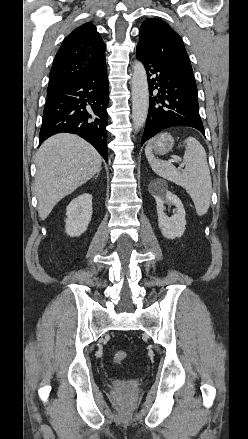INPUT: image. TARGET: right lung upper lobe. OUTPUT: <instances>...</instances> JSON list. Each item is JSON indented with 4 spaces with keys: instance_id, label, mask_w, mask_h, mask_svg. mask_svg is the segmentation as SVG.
Instances as JSON below:
<instances>
[{
    "instance_id": "right-lung-upper-lobe-1",
    "label": "right lung upper lobe",
    "mask_w": 248,
    "mask_h": 439,
    "mask_svg": "<svg viewBox=\"0 0 248 439\" xmlns=\"http://www.w3.org/2000/svg\"><path fill=\"white\" fill-rule=\"evenodd\" d=\"M106 46L87 22L73 30L62 42L50 71L47 93L59 89L104 65Z\"/></svg>"
}]
</instances>
